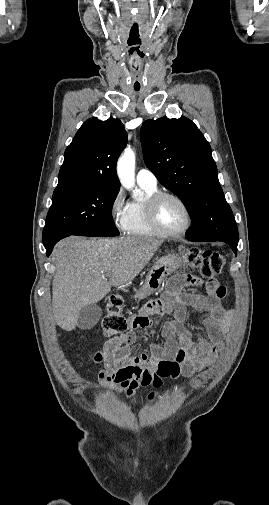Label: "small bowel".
<instances>
[{
	"label": "small bowel",
	"instance_id": "small-bowel-1",
	"mask_svg": "<svg viewBox=\"0 0 269 505\" xmlns=\"http://www.w3.org/2000/svg\"><path fill=\"white\" fill-rule=\"evenodd\" d=\"M201 275L197 269V278L187 275L175 277L169 285V298H156L154 304L144 305L137 315L131 316V330L110 340L95 354L94 361L103 365L99 379L106 388L132 397L138 387L152 382L155 373L162 377L190 378L215 362L232 312L222 305L225 287L216 281H204ZM199 279L205 283L206 295L178 294L182 287L200 285ZM187 306L204 312L202 324L207 337L200 333L193 337L186 329ZM154 310L158 315L174 314V322L162 324L159 331L165 337L175 333L177 339L170 337L164 347L155 346L151 353L131 355L136 330L155 326L150 318Z\"/></svg>",
	"mask_w": 269,
	"mask_h": 505
}]
</instances>
